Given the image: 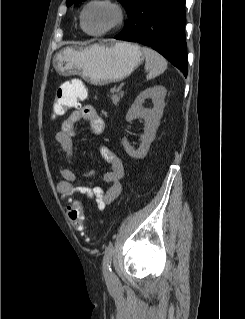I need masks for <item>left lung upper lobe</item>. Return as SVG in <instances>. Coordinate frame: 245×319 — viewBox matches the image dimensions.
<instances>
[{
    "instance_id": "1",
    "label": "left lung upper lobe",
    "mask_w": 245,
    "mask_h": 319,
    "mask_svg": "<svg viewBox=\"0 0 245 319\" xmlns=\"http://www.w3.org/2000/svg\"><path fill=\"white\" fill-rule=\"evenodd\" d=\"M81 1H84V0H67L66 1V4L67 6H70L72 5L73 3H79ZM122 5L125 6L126 10H127V14H128V20L129 18L131 17L133 11H134V8L137 4V2L139 0H118Z\"/></svg>"
}]
</instances>
